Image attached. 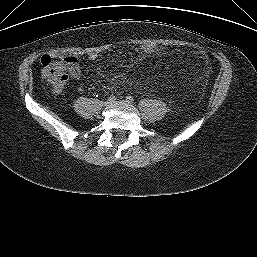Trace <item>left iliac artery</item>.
<instances>
[{"mask_svg":"<svg viewBox=\"0 0 257 257\" xmlns=\"http://www.w3.org/2000/svg\"><path fill=\"white\" fill-rule=\"evenodd\" d=\"M126 100H127V102H133V101H134L133 97L130 96V95H128V96L126 97Z\"/></svg>","mask_w":257,"mask_h":257,"instance_id":"44dca946","label":"left iliac artery"}]
</instances>
